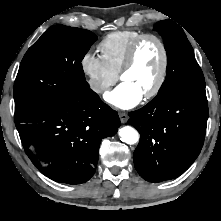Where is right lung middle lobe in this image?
Listing matches in <instances>:
<instances>
[{"label":"right lung middle lobe","mask_w":221,"mask_h":221,"mask_svg":"<svg viewBox=\"0 0 221 221\" xmlns=\"http://www.w3.org/2000/svg\"><path fill=\"white\" fill-rule=\"evenodd\" d=\"M96 40L88 30L64 25L45 31L21 61L14 84L15 118L88 91L81 61Z\"/></svg>","instance_id":"obj_1"}]
</instances>
